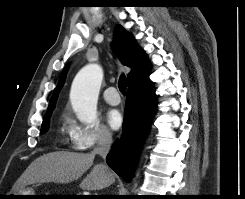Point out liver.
<instances>
[{
	"mask_svg": "<svg viewBox=\"0 0 245 199\" xmlns=\"http://www.w3.org/2000/svg\"><path fill=\"white\" fill-rule=\"evenodd\" d=\"M92 153L57 151L34 160L17 183L16 189L37 183L67 184L79 179L92 165ZM115 181L112 172L102 164L93 166L82 180L83 190L94 191L109 187Z\"/></svg>",
	"mask_w": 245,
	"mask_h": 199,
	"instance_id": "1",
	"label": "liver"
}]
</instances>
